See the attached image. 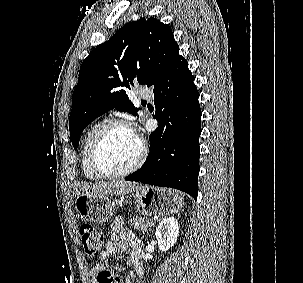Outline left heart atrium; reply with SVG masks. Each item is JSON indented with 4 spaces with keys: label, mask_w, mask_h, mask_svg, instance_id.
I'll use <instances>...</instances> for the list:
<instances>
[{
    "label": "left heart atrium",
    "mask_w": 303,
    "mask_h": 283,
    "mask_svg": "<svg viewBox=\"0 0 303 283\" xmlns=\"http://www.w3.org/2000/svg\"><path fill=\"white\" fill-rule=\"evenodd\" d=\"M132 131H133L134 135L139 139L138 131L136 129H133Z\"/></svg>",
    "instance_id": "1"
}]
</instances>
